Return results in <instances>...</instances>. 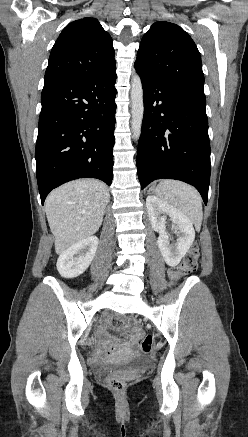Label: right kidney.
I'll use <instances>...</instances> for the list:
<instances>
[{
	"label": "right kidney",
	"instance_id": "right-kidney-1",
	"mask_svg": "<svg viewBox=\"0 0 248 437\" xmlns=\"http://www.w3.org/2000/svg\"><path fill=\"white\" fill-rule=\"evenodd\" d=\"M98 243V238L91 236L61 253L56 265L60 275L64 278H74L83 274L94 259Z\"/></svg>",
	"mask_w": 248,
	"mask_h": 437
}]
</instances>
